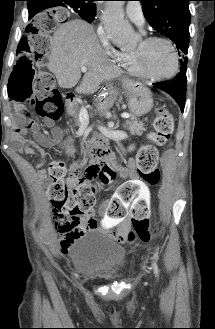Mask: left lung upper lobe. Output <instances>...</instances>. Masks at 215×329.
Listing matches in <instances>:
<instances>
[{
    "instance_id": "1",
    "label": "left lung upper lobe",
    "mask_w": 215,
    "mask_h": 329,
    "mask_svg": "<svg viewBox=\"0 0 215 329\" xmlns=\"http://www.w3.org/2000/svg\"><path fill=\"white\" fill-rule=\"evenodd\" d=\"M149 24L162 35L170 38L179 49L181 65L187 64L191 0H139Z\"/></svg>"
}]
</instances>
